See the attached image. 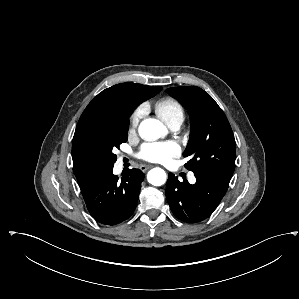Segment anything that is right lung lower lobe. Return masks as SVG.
I'll use <instances>...</instances> for the list:
<instances>
[{
    "label": "right lung lower lobe",
    "instance_id": "obj_1",
    "mask_svg": "<svg viewBox=\"0 0 299 299\" xmlns=\"http://www.w3.org/2000/svg\"><path fill=\"white\" fill-rule=\"evenodd\" d=\"M143 179L139 169H128L119 178L111 167L79 187L93 218L102 224L115 225L133 214Z\"/></svg>",
    "mask_w": 299,
    "mask_h": 299
}]
</instances>
